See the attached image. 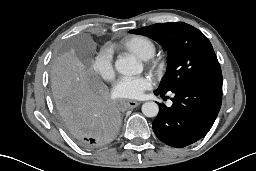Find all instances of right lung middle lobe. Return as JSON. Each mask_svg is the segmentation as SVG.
<instances>
[{
  "mask_svg": "<svg viewBox=\"0 0 256 171\" xmlns=\"http://www.w3.org/2000/svg\"><path fill=\"white\" fill-rule=\"evenodd\" d=\"M51 91L55 104L67 99L81 90L66 57L54 59L50 68Z\"/></svg>",
  "mask_w": 256,
  "mask_h": 171,
  "instance_id": "dd1d6c3e",
  "label": "right lung middle lobe"
}]
</instances>
